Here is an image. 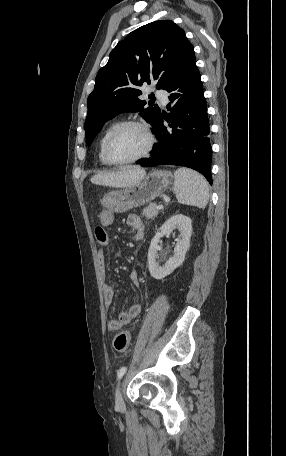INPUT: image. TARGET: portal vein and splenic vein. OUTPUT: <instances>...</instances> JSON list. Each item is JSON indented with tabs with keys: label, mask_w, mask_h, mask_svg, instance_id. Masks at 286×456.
<instances>
[{
	"label": "portal vein and splenic vein",
	"mask_w": 286,
	"mask_h": 456,
	"mask_svg": "<svg viewBox=\"0 0 286 456\" xmlns=\"http://www.w3.org/2000/svg\"><path fill=\"white\" fill-rule=\"evenodd\" d=\"M156 208H157V209H162V208H163V205H162V204H159V205H157Z\"/></svg>",
	"instance_id": "portal-vein-and-splenic-vein-1"
}]
</instances>
